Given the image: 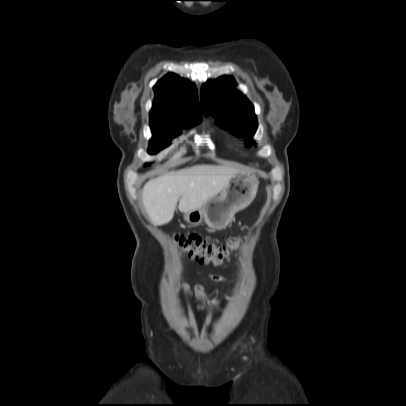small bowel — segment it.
I'll list each match as a JSON object with an SVG mask.
<instances>
[{"mask_svg": "<svg viewBox=\"0 0 406 406\" xmlns=\"http://www.w3.org/2000/svg\"><path fill=\"white\" fill-rule=\"evenodd\" d=\"M212 279L218 282H225L229 280L228 277L222 275H213ZM184 287L187 288L188 285L185 284ZM195 289L198 309L216 308L220 304L217 299L207 297L202 284H198Z\"/></svg>", "mask_w": 406, "mask_h": 406, "instance_id": "small-bowel-1", "label": "small bowel"}]
</instances>
